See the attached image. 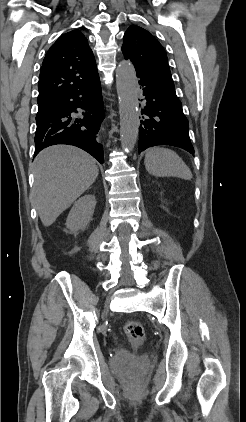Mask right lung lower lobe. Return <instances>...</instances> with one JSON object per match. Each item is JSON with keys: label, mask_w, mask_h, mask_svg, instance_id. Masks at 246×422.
I'll return each instance as SVG.
<instances>
[{"label": "right lung lower lobe", "mask_w": 246, "mask_h": 422, "mask_svg": "<svg viewBox=\"0 0 246 422\" xmlns=\"http://www.w3.org/2000/svg\"><path fill=\"white\" fill-rule=\"evenodd\" d=\"M77 109L82 110V118L73 116ZM103 119V99L97 76L89 84L38 109L34 155L51 145L70 144L104 163L103 146L97 141Z\"/></svg>", "instance_id": "98d812e1"}]
</instances>
